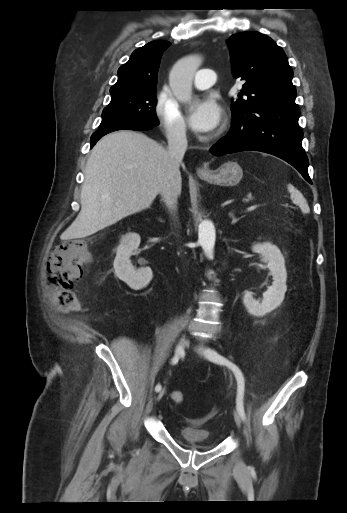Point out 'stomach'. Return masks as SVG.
Listing matches in <instances>:
<instances>
[{"instance_id":"1","label":"stomach","mask_w":347,"mask_h":513,"mask_svg":"<svg viewBox=\"0 0 347 513\" xmlns=\"http://www.w3.org/2000/svg\"><path fill=\"white\" fill-rule=\"evenodd\" d=\"M243 177V170L237 162L228 161L223 163L217 170L210 174L200 176L206 182L219 186H235Z\"/></svg>"}]
</instances>
